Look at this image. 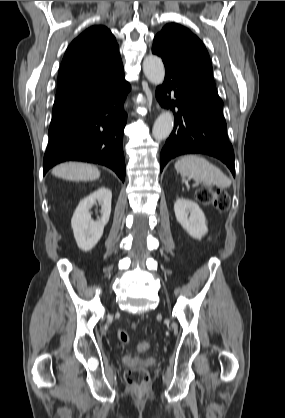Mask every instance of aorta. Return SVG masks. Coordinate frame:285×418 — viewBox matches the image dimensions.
Segmentation results:
<instances>
[{"label": "aorta", "instance_id": "762f6f07", "mask_svg": "<svg viewBox=\"0 0 285 418\" xmlns=\"http://www.w3.org/2000/svg\"><path fill=\"white\" fill-rule=\"evenodd\" d=\"M143 72L145 77L155 86L161 85L165 77L164 64L158 56L149 55L143 61ZM174 117L169 110H164L156 119L152 135L155 140H164L172 132Z\"/></svg>", "mask_w": 285, "mask_h": 418}]
</instances>
